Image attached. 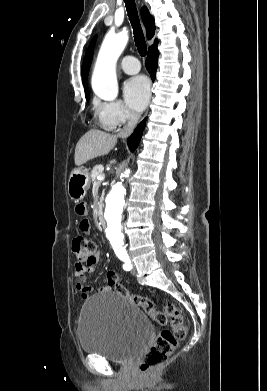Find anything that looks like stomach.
<instances>
[{
	"label": "stomach",
	"instance_id": "stomach-1",
	"mask_svg": "<svg viewBox=\"0 0 267 391\" xmlns=\"http://www.w3.org/2000/svg\"><path fill=\"white\" fill-rule=\"evenodd\" d=\"M90 174L85 168L74 169L69 177L67 193L71 200L78 202L82 200L90 187Z\"/></svg>",
	"mask_w": 267,
	"mask_h": 391
}]
</instances>
